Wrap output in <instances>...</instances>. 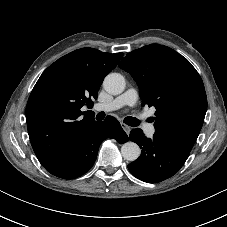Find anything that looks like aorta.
Returning a JSON list of instances; mask_svg holds the SVG:
<instances>
[{"label":"aorta","mask_w":227,"mask_h":227,"mask_svg":"<svg viewBox=\"0 0 227 227\" xmlns=\"http://www.w3.org/2000/svg\"><path fill=\"white\" fill-rule=\"evenodd\" d=\"M125 79L121 74L111 73L104 79V89L112 95L121 94L125 89ZM140 147L134 142H126L121 147V154L128 161H135L140 156Z\"/></svg>","instance_id":"762f6f07"}]
</instances>
